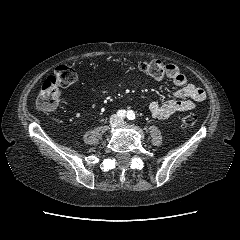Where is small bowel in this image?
I'll use <instances>...</instances> for the list:
<instances>
[{"instance_id":"obj_1","label":"small bowel","mask_w":240,"mask_h":240,"mask_svg":"<svg viewBox=\"0 0 240 240\" xmlns=\"http://www.w3.org/2000/svg\"><path fill=\"white\" fill-rule=\"evenodd\" d=\"M167 66V76L179 89L174 93V99L162 103L156 101L150 103L149 111L151 115L160 120L167 119L179 112L192 110L206 97L202 88L188 83L186 76L180 72L176 65L167 64Z\"/></svg>"}]
</instances>
